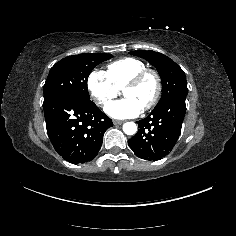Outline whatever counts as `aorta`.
Masks as SVG:
<instances>
[{
	"label": "aorta",
	"mask_w": 236,
	"mask_h": 236,
	"mask_svg": "<svg viewBox=\"0 0 236 236\" xmlns=\"http://www.w3.org/2000/svg\"><path fill=\"white\" fill-rule=\"evenodd\" d=\"M122 129L127 135H133L137 131V126L134 122H126L123 124Z\"/></svg>",
	"instance_id": "1"
}]
</instances>
